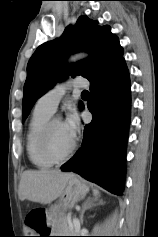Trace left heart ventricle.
I'll use <instances>...</instances> for the list:
<instances>
[{
    "mask_svg": "<svg viewBox=\"0 0 158 237\" xmlns=\"http://www.w3.org/2000/svg\"><path fill=\"white\" fill-rule=\"evenodd\" d=\"M73 140L66 133L63 123L57 121L54 123L50 133V147L57 156H62L70 149Z\"/></svg>",
    "mask_w": 158,
    "mask_h": 237,
    "instance_id": "b2bd125f",
    "label": "left heart ventricle"
}]
</instances>
